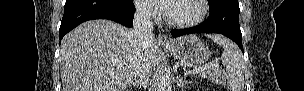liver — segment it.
<instances>
[{"instance_id": "1", "label": "liver", "mask_w": 304, "mask_h": 91, "mask_svg": "<svg viewBox=\"0 0 304 91\" xmlns=\"http://www.w3.org/2000/svg\"><path fill=\"white\" fill-rule=\"evenodd\" d=\"M131 32L110 20H91L65 35L60 48L63 91H125L137 59ZM148 61L152 67L159 63L155 39Z\"/></svg>"}]
</instances>
